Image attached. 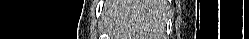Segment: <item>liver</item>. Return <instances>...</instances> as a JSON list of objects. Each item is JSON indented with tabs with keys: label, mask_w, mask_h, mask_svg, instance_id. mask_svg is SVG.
Instances as JSON below:
<instances>
[{
	"label": "liver",
	"mask_w": 249,
	"mask_h": 39,
	"mask_svg": "<svg viewBox=\"0 0 249 39\" xmlns=\"http://www.w3.org/2000/svg\"><path fill=\"white\" fill-rule=\"evenodd\" d=\"M166 12L165 0H112L105 11L115 39H161Z\"/></svg>",
	"instance_id": "6515ba94"
}]
</instances>
